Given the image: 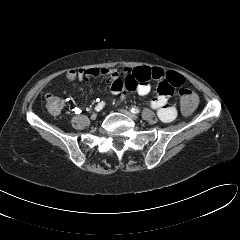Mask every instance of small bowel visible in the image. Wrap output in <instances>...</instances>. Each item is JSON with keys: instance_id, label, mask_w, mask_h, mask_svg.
<instances>
[{"instance_id": "small-bowel-1", "label": "small bowel", "mask_w": 240, "mask_h": 240, "mask_svg": "<svg viewBox=\"0 0 240 240\" xmlns=\"http://www.w3.org/2000/svg\"><path fill=\"white\" fill-rule=\"evenodd\" d=\"M97 76L107 77V90L113 94H120L123 101L126 93L135 91L139 96L144 97L150 93V80L159 82L157 95L151 100L150 106L156 110L159 119L162 122H172L177 116L176 108L168 103V98L173 90L184 84V78L177 72L166 71L158 67H138L127 69L123 73H118L109 68H89L69 70L66 73V80L73 82L91 83L92 78Z\"/></svg>"}]
</instances>
